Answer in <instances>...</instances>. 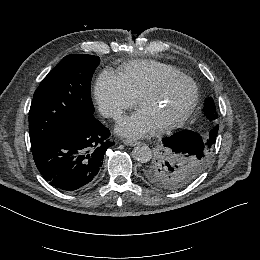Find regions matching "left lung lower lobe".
<instances>
[{"label":"left lung lower lobe","mask_w":260,"mask_h":260,"mask_svg":"<svg viewBox=\"0 0 260 260\" xmlns=\"http://www.w3.org/2000/svg\"><path fill=\"white\" fill-rule=\"evenodd\" d=\"M218 128V125L213 127L207 139H204L196 131L182 130L165 137L162 142L165 146L178 154L201 155L207 148L214 146Z\"/></svg>","instance_id":"obj_1"}]
</instances>
